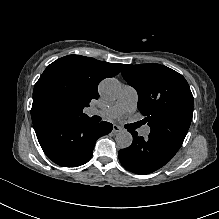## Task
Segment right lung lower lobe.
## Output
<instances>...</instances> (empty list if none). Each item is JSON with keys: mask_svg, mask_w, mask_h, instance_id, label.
<instances>
[{"mask_svg": "<svg viewBox=\"0 0 219 219\" xmlns=\"http://www.w3.org/2000/svg\"><path fill=\"white\" fill-rule=\"evenodd\" d=\"M39 144L54 163L77 167L89 161L98 138L112 131L108 122L89 117H38L32 119Z\"/></svg>", "mask_w": 219, "mask_h": 219, "instance_id": "obj_1", "label": "right lung lower lobe"}]
</instances>
